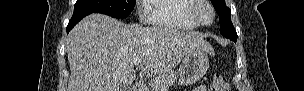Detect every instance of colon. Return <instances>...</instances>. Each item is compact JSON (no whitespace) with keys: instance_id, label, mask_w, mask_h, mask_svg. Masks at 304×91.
<instances>
[{"instance_id":"obj_1","label":"colon","mask_w":304,"mask_h":91,"mask_svg":"<svg viewBox=\"0 0 304 91\" xmlns=\"http://www.w3.org/2000/svg\"><path fill=\"white\" fill-rule=\"evenodd\" d=\"M212 91H228L230 90L227 81L221 75H215L211 83Z\"/></svg>"}]
</instances>
